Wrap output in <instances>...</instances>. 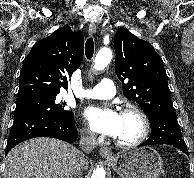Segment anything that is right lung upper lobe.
I'll use <instances>...</instances> for the list:
<instances>
[{"label":"right lung upper lobe","instance_id":"obj_1","mask_svg":"<svg viewBox=\"0 0 194 178\" xmlns=\"http://www.w3.org/2000/svg\"><path fill=\"white\" fill-rule=\"evenodd\" d=\"M84 37L62 27L38 41L25 57L20 73L17 102L50 97L67 89L68 77L83 60Z\"/></svg>","mask_w":194,"mask_h":178}]
</instances>
